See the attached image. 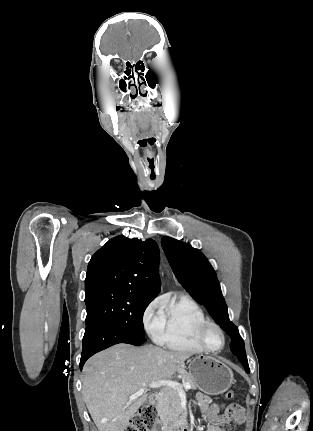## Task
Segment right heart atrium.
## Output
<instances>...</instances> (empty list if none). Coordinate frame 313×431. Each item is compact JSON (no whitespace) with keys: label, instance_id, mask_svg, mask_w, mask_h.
Listing matches in <instances>:
<instances>
[{"label":"right heart atrium","instance_id":"right-heart-atrium-1","mask_svg":"<svg viewBox=\"0 0 313 431\" xmlns=\"http://www.w3.org/2000/svg\"><path fill=\"white\" fill-rule=\"evenodd\" d=\"M163 308V299L161 297H156L145 307L142 314L143 325L146 331L155 340L163 327Z\"/></svg>","mask_w":313,"mask_h":431}]
</instances>
